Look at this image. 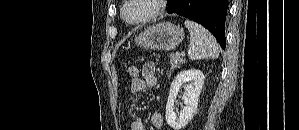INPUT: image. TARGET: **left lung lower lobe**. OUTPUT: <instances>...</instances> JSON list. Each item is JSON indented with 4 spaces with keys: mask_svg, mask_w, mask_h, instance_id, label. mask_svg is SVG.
Segmentation results:
<instances>
[{
    "mask_svg": "<svg viewBox=\"0 0 299 130\" xmlns=\"http://www.w3.org/2000/svg\"><path fill=\"white\" fill-rule=\"evenodd\" d=\"M228 0H170L167 12L178 14L200 23L225 49V19Z\"/></svg>",
    "mask_w": 299,
    "mask_h": 130,
    "instance_id": "obj_1",
    "label": "left lung lower lobe"
}]
</instances>
